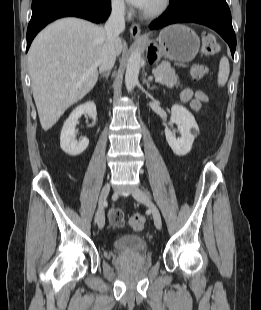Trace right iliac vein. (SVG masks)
<instances>
[{
  "mask_svg": "<svg viewBox=\"0 0 261 310\" xmlns=\"http://www.w3.org/2000/svg\"><path fill=\"white\" fill-rule=\"evenodd\" d=\"M109 192H110V184L107 183L103 187L100 193V197H99V213H98V218H97L99 229H102L105 225L104 205L106 203V199L109 195Z\"/></svg>",
  "mask_w": 261,
  "mask_h": 310,
  "instance_id": "right-iliac-vein-1",
  "label": "right iliac vein"
}]
</instances>
